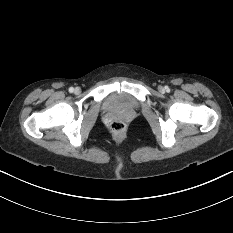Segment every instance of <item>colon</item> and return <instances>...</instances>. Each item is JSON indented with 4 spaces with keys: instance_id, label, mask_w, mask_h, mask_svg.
<instances>
[{
    "instance_id": "1",
    "label": "colon",
    "mask_w": 233,
    "mask_h": 233,
    "mask_svg": "<svg viewBox=\"0 0 233 233\" xmlns=\"http://www.w3.org/2000/svg\"><path fill=\"white\" fill-rule=\"evenodd\" d=\"M110 129L115 134H121L125 130V125L121 121H114V122L111 123Z\"/></svg>"
}]
</instances>
